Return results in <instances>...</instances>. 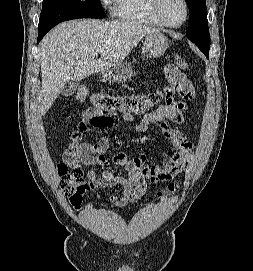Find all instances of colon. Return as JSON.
Wrapping results in <instances>:
<instances>
[{"instance_id":"5ec220e1","label":"colon","mask_w":253,"mask_h":271,"mask_svg":"<svg viewBox=\"0 0 253 271\" xmlns=\"http://www.w3.org/2000/svg\"><path fill=\"white\" fill-rule=\"evenodd\" d=\"M173 60L176 68L180 70H186L188 68L186 60L180 55H175ZM177 89L190 96L194 95L193 85L185 77L183 82H177ZM75 98L79 102H84L87 99H90L93 106V112L108 115L113 112H144L158 103L160 95L157 92H151L144 95L109 93L90 94V89L87 86L79 85L75 93ZM57 169L63 193L69 197L72 204H78L81 200L82 194L88 189V182L85 181L81 168L62 162L58 164ZM177 188L178 185L170 184L159 193V196L161 198H166L170 194L174 193Z\"/></svg>"}]
</instances>
